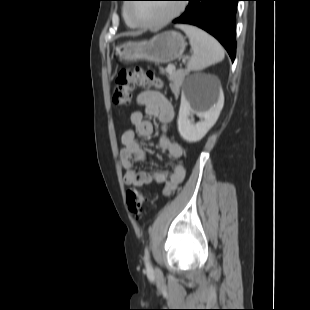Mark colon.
<instances>
[{
  "instance_id": "colon-1",
  "label": "colon",
  "mask_w": 310,
  "mask_h": 310,
  "mask_svg": "<svg viewBox=\"0 0 310 310\" xmlns=\"http://www.w3.org/2000/svg\"><path fill=\"white\" fill-rule=\"evenodd\" d=\"M135 86L161 87V82L151 70H144L140 67L133 70H121L115 77L113 103L117 106L128 105ZM126 201L129 211L139 218L143 213L142 193L131 187L127 190Z\"/></svg>"
}]
</instances>
